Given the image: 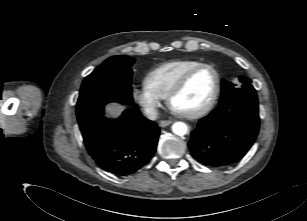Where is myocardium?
<instances>
[{"label": "myocardium", "mask_w": 307, "mask_h": 221, "mask_svg": "<svg viewBox=\"0 0 307 221\" xmlns=\"http://www.w3.org/2000/svg\"><path fill=\"white\" fill-rule=\"evenodd\" d=\"M210 69L215 75V88L212 97L208 101V103L202 107L201 109L192 112V113H181L172 107L173 100L184 90V88L187 86L188 82L190 79L200 70L202 69ZM220 89H221V77L218 72V70L211 64L207 63H202L189 71H187L179 80L178 82L174 85V87L170 90L169 94L166 97L167 104L170 108V110L181 117L187 118V119H197L200 118L204 115H206L208 112L211 111V109L214 107L216 104L219 94H220Z\"/></svg>", "instance_id": "f54148a6"}]
</instances>
